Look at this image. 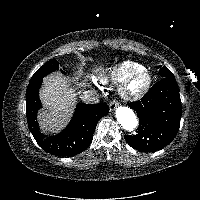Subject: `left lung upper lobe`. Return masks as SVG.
I'll return each mask as SVG.
<instances>
[{"label": "left lung upper lobe", "mask_w": 200, "mask_h": 200, "mask_svg": "<svg viewBox=\"0 0 200 200\" xmlns=\"http://www.w3.org/2000/svg\"><path fill=\"white\" fill-rule=\"evenodd\" d=\"M159 74L163 78H174V75L172 74V72L165 66L164 67L160 66Z\"/></svg>", "instance_id": "1"}]
</instances>
